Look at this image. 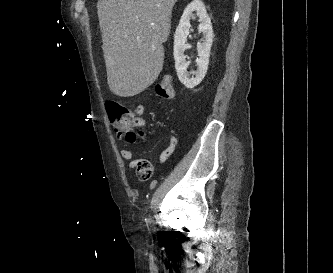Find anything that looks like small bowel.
Listing matches in <instances>:
<instances>
[{
    "mask_svg": "<svg viewBox=\"0 0 333 273\" xmlns=\"http://www.w3.org/2000/svg\"><path fill=\"white\" fill-rule=\"evenodd\" d=\"M133 111L136 113V123H139L140 127L143 126L144 123H147V111H145L141 101H136V106H134ZM177 145V137L175 135H171L168 141V145L162 150L158 157V163H164L174 153ZM120 155L124 160L129 162L130 168H135L138 159H135V155L130 149H121Z\"/></svg>",
    "mask_w": 333,
    "mask_h": 273,
    "instance_id": "1",
    "label": "small bowel"
}]
</instances>
